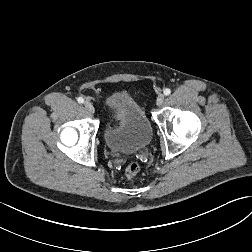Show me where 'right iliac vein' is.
<instances>
[{
  "label": "right iliac vein",
  "mask_w": 252,
  "mask_h": 252,
  "mask_svg": "<svg viewBox=\"0 0 252 252\" xmlns=\"http://www.w3.org/2000/svg\"><path fill=\"white\" fill-rule=\"evenodd\" d=\"M84 106H85V108L90 112V113H94L95 112V108H94V106H93V104L91 103V102H89V101H85L84 102Z\"/></svg>",
  "instance_id": "63e3f726"
}]
</instances>
